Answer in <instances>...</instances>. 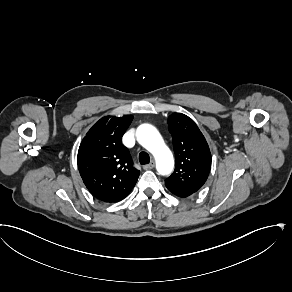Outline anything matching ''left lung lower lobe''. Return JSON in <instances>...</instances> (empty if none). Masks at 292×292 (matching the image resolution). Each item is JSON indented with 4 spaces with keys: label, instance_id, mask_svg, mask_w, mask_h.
<instances>
[{
    "label": "left lung lower lobe",
    "instance_id": "obj_1",
    "mask_svg": "<svg viewBox=\"0 0 292 292\" xmlns=\"http://www.w3.org/2000/svg\"><path fill=\"white\" fill-rule=\"evenodd\" d=\"M168 190L170 192H172L174 195H176L178 197H182V198L188 197V196L193 194V193H190V192L179 191V190H170V189H168Z\"/></svg>",
    "mask_w": 292,
    "mask_h": 292
}]
</instances>
